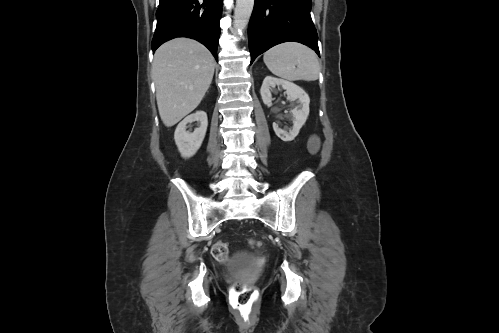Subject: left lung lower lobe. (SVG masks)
<instances>
[{
	"mask_svg": "<svg viewBox=\"0 0 499 333\" xmlns=\"http://www.w3.org/2000/svg\"><path fill=\"white\" fill-rule=\"evenodd\" d=\"M311 6V0H255L248 26L251 63L269 48L289 41L307 45L320 56Z\"/></svg>",
	"mask_w": 499,
	"mask_h": 333,
	"instance_id": "0a47b994",
	"label": "left lung lower lobe"
}]
</instances>
